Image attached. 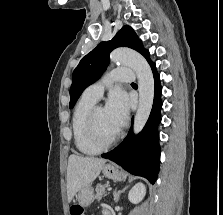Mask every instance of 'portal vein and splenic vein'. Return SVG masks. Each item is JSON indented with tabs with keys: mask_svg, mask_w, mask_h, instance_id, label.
Instances as JSON below:
<instances>
[{
	"mask_svg": "<svg viewBox=\"0 0 223 215\" xmlns=\"http://www.w3.org/2000/svg\"><path fill=\"white\" fill-rule=\"evenodd\" d=\"M107 189H108V191H112L113 189H112V187L109 185V186H107Z\"/></svg>",
	"mask_w": 223,
	"mask_h": 215,
	"instance_id": "portal-vein-and-splenic-vein-1",
	"label": "portal vein and splenic vein"
}]
</instances>
